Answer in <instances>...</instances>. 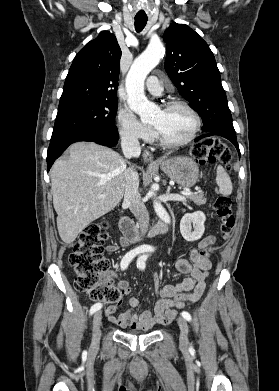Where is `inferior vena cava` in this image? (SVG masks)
I'll list each match as a JSON object with an SVG mask.
<instances>
[{"label":"inferior vena cava","instance_id":"1","mask_svg":"<svg viewBox=\"0 0 279 391\" xmlns=\"http://www.w3.org/2000/svg\"><path fill=\"white\" fill-rule=\"evenodd\" d=\"M121 147L124 156L128 159L132 157H138L141 153L138 137L132 133H122ZM124 178V203L128 205L130 211L136 217L140 233L142 236H144L149 226V213L138 192L139 176L132 168H127L124 172Z\"/></svg>","mask_w":279,"mask_h":391}]
</instances>
